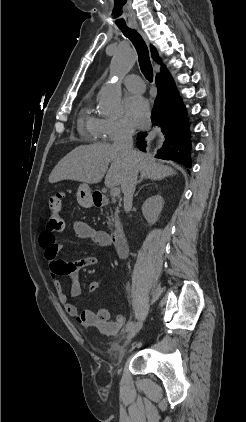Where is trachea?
I'll return each mask as SVG.
<instances>
[{
	"label": "trachea",
	"instance_id": "1",
	"mask_svg": "<svg viewBox=\"0 0 246 422\" xmlns=\"http://www.w3.org/2000/svg\"><path fill=\"white\" fill-rule=\"evenodd\" d=\"M120 29L124 36L129 38V40L133 43L138 53V61L142 73L148 81L152 82L153 68L151 65L148 48L142 36L136 30L130 29L128 27H120Z\"/></svg>",
	"mask_w": 246,
	"mask_h": 422
}]
</instances>
